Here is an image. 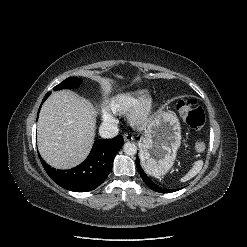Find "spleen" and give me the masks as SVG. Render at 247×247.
<instances>
[{
    "mask_svg": "<svg viewBox=\"0 0 247 247\" xmlns=\"http://www.w3.org/2000/svg\"><path fill=\"white\" fill-rule=\"evenodd\" d=\"M202 166H203L202 160L196 161L193 167L189 170V172L184 177L181 178V181L185 182L196 176L202 169Z\"/></svg>",
    "mask_w": 247,
    "mask_h": 247,
    "instance_id": "obj_1",
    "label": "spleen"
}]
</instances>
